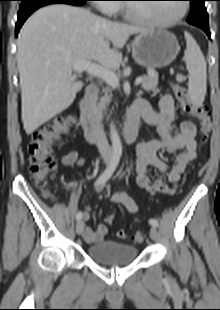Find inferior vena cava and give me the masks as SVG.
<instances>
[{
  "label": "inferior vena cava",
  "instance_id": "obj_1",
  "mask_svg": "<svg viewBox=\"0 0 220 310\" xmlns=\"http://www.w3.org/2000/svg\"><path fill=\"white\" fill-rule=\"evenodd\" d=\"M94 134L97 142V148L101 156L103 157L110 156L112 150L108 144L103 125L100 121H98L94 127Z\"/></svg>",
  "mask_w": 220,
  "mask_h": 310
}]
</instances>
